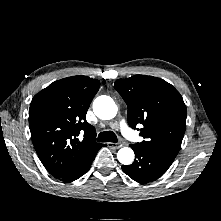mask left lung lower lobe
Segmentation results:
<instances>
[{
    "label": "left lung lower lobe",
    "mask_w": 221,
    "mask_h": 221,
    "mask_svg": "<svg viewBox=\"0 0 221 221\" xmlns=\"http://www.w3.org/2000/svg\"><path fill=\"white\" fill-rule=\"evenodd\" d=\"M130 147L135 153V160L131 165L122 166V170L141 184L161 177L174 161V157L147 150L137 144H131Z\"/></svg>",
    "instance_id": "left-lung-lower-lobe-1"
}]
</instances>
